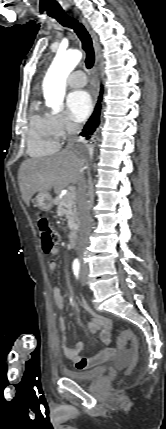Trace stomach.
<instances>
[{
	"mask_svg": "<svg viewBox=\"0 0 166 429\" xmlns=\"http://www.w3.org/2000/svg\"><path fill=\"white\" fill-rule=\"evenodd\" d=\"M35 203L42 211H49L53 207V199L48 192H39L35 197Z\"/></svg>",
	"mask_w": 166,
	"mask_h": 429,
	"instance_id": "stomach-1",
	"label": "stomach"
}]
</instances>
